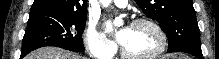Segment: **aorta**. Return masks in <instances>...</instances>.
I'll list each match as a JSON object with an SVG mask.
<instances>
[{
	"instance_id": "1",
	"label": "aorta",
	"mask_w": 219,
	"mask_h": 59,
	"mask_svg": "<svg viewBox=\"0 0 219 59\" xmlns=\"http://www.w3.org/2000/svg\"><path fill=\"white\" fill-rule=\"evenodd\" d=\"M103 7H108L111 3V0H100Z\"/></svg>"
}]
</instances>
